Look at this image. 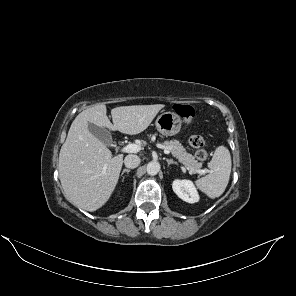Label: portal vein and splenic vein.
<instances>
[{
    "instance_id": "18ae733b",
    "label": "portal vein and splenic vein",
    "mask_w": 296,
    "mask_h": 296,
    "mask_svg": "<svg viewBox=\"0 0 296 296\" xmlns=\"http://www.w3.org/2000/svg\"><path fill=\"white\" fill-rule=\"evenodd\" d=\"M141 150V146L137 144H128L125 147H123L122 151L125 153H137ZM165 154H170V151L168 149H164ZM106 169V166L104 167ZM205 170H199V174H205Z\"/></svg>"
}]
</instances>
